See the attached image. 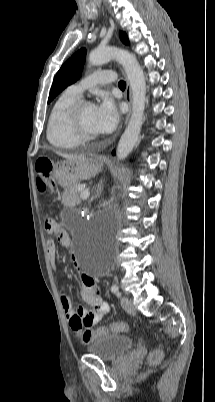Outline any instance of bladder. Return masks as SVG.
Wrapping results in <instances>:
<instances>
[{
  "mask_svg": "<svg viewBox=\"0 0 215 402\" xmlns=\"http://www.w3.org/2000/svg\"><path fill=\"white\" fill-rule=\"evenodd\" d=\"M133 344V340L125 335H105L90 342L87 351L102 360L112 361L129 351Z\"/></svg>",
  "mask_w": 215,
  "mask_h": 402,
  "instance_id": "31cf9c89",
  "label": "bladder"
}]
</instances>
